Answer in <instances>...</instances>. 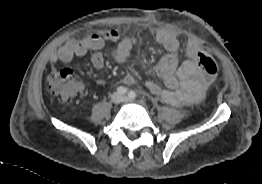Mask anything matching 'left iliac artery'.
I'll return each instance as SVG.
<instances>
[{"label": "left iliac artery", "instance_id": "1", "mask_svg": "<svg viewBox=\"0 0 262 184\" xmlns=\"http://www.w3.org/2000/svg\"><path fill=\"white\" fill-rule=\"evenodd\" d=\"M129 98L135 99L136 98V92L135 91H130L128 94Z\"/></svg>", "mask_w": 262, "mask_h": 184}]
</instances>
